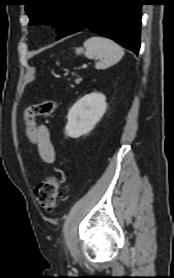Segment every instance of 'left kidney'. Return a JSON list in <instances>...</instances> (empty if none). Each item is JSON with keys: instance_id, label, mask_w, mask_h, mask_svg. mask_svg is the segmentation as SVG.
Wrapping results in <instances>:
<instances>
[{"instance_id": "5707ae66", "label": "left kidney", "mask_w": 174, "mask_h": 278, "mask_svg": "<svg viewBox=\"0 0 174 278\" xmlns=\"http://www.w3.org/2000/svg\"><path fill=\"white\" fill-rule=\"evenodd\" d=\"M107 109L106 97L90 93L79 99L69 110L65 132L71 138H79L93 130Z\"/></svg>"}]
</instances>
